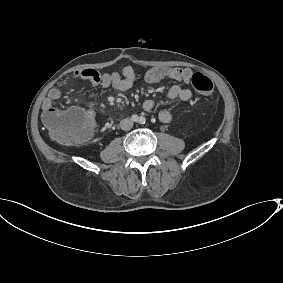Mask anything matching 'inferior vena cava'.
Here are the masks:
<instances>
[{
  "mask_svg": "<svg viewBox=\"0 0 283 283\" xmlns=\"http://www.w3.org/2000/svg\"><path fill=\"white\" fill-rule=\"evenodd\" d=\"M120 127L124 131H128L133 127V121L130 118H125L120 122Z\"/></svg>",
  "mask_w": 283,
  "mask_h": 283,
  "instance_id": "1",
  "label": "inferior vena cava"
}]
</instances>
